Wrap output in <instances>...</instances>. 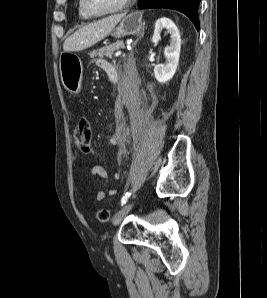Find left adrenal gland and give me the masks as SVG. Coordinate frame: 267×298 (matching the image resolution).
<instances>
[{"instance_id": "a2214340", "label": "left adrenal gland", "mask_w": 267, "mask_h": 298, "mask_svg": "<svg viewBox=\"0 0 267 298\" xmlns=\"http://www.w3.org/2000/svg\"><path fill=\"white\" fill-rule=\"evenodd\" d=\"M142 37H143V34H141V35L138 37V39H136V41H135L134 44H133V47L137 44V42H138Z\"/></svg>"}]
</instances>
